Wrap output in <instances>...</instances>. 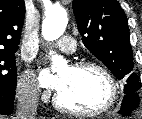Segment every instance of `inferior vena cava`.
I'll list each match as a JSON object with an SVG mask.
<instances>
[{"mask_svg":"<svg viewBox=\"0 0 142 119\" xmlns=\"http://www.w3.org/2000/svg\"><path fill=\"white\" fill-rule=\"evenodd\" d=\"M39 92L34 85H27L18 91L17 109L14 119H36Z\"/></svg>","mask_w":142,"mask_h":119,"instance_id":"1","label":"inferior vena cava"}]
</instances>
